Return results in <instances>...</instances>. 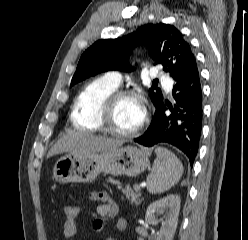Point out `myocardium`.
Instances as JSON below:
<instances>
[{
    "instance_id": "obj_1",
    "label": "myocardium",
    "mask_w": 248,
    "mask_h": 240,
    "mask_svg": "<svg viewBox=\"0 0 248 240\" xmlns=\"http://www.w3.org/2000/svg\"><path fill=\"white\" fill-rule=\"evenodd\" d=\"M128 97H133L141 101V98L136 91L128 89H116L103 101L99 108L97 118V124L100 130L110 135L123 138L133 137L140 132L142 129V122L135 129L128 132L119 131L111 125L110 116L112 110L120 99Z\"/></svg>"
}]
</instances>
